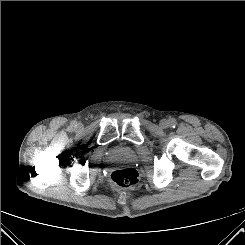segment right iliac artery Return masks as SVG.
<instances>
[{"label": "right iliac artery", "instance_id": "right-iliac-artery-1", "mask_svg": "<svg viewBox=\"0 0 245 245\" xmlns=\"http://www.w3.org/2000/svg\"><path fill=\"white\" fill-rule=\"evenodd\" d=\"M75 124H76V122H73V123H72V126H75Z\"/></svg>", "mask_w": 245, "mask_h": 245}]
</instances>
